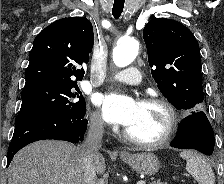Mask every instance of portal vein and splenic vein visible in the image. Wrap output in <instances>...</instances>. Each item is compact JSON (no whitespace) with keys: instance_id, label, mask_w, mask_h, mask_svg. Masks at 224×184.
Masks as SVG:
<instances>
[{"instance_id":"18ae733b","label":"portal vein and splenic vein","mask_w":224,"mask_h":184,"mask_svg":"<svg viewBox=\"0 0 224 184\" xmlns=\"http://www.w3.org/2000/svg\"><path fill=\"white\" fill-rule=\"evenodd\" d=\"M137 184H146L145 181H138Z\"/></svg>"}]
</instances>
